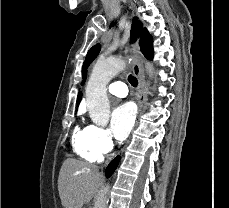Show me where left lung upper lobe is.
I'll return each mask as SVG.
<instances>
[{"label":"left lung upper lobe","mask_w":229,"mask_h":208,"mask_svg":"<svg viewBox=\"0 0 229 208\" xmlns=\"http://www.w3.org/2000/svg\"><path fill=\"white\" fill-rule=\"evenodd\" d=\"M138 37L140 38L139 45L141 52L145 55L146 58L152 59V36L148 33L147 29L143 28L142 24L139 21H137L136 18H134L131 29V41H135ZM100 48V44H96L88 51L82 67V75L85 74V71L88 68L89 64L96 58L100 51Z\"/></svg>","instance_id":"left-lung-upper-lobe-1"}]
</instances>
